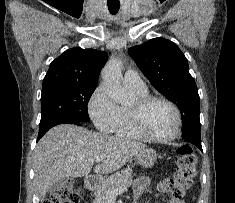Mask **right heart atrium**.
Returning <instances> with one entry per match:
<instances>
[{"label": "right heart atrium", "instance_id": "right-heart-atrium-1", "mask_svg": "<svg viewBox=\"0 0 235 203\" xmlns=\"http://www.w3.org/2000/svg\"><path fill=\"white\" fill-rule=\"evenodd\" d=\"M88 114L95 127L104 133L114 128L119 117V106L113 101L106 87L98 85L87 104Z\"/></svg>", "mask_w": 235, "mask_h": 203}]
</instances>
